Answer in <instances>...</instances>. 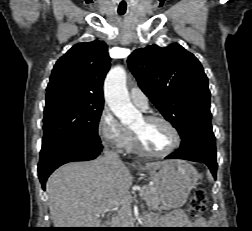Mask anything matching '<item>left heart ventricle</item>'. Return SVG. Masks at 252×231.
I'll list each match as a JSON object with an SVG mask.
<instances>
[{
	"mask_svg": "<svg viewBox=\"0 0 252 231\" xmlns=\"http://www.w3.org/2000/svg\"><path fill=\"white\" fill-rule=\"evenodd\" d=\"M141 139L145 148L153 152H164L173 144V135L170 129L162 122H146L139 119L132 127Z\"/></svg>",
	"mask_w": 252,
	"mask_h": 231,
	"instance_id": "1",
	"label": "left heart ventricle"
}]
</instances>
